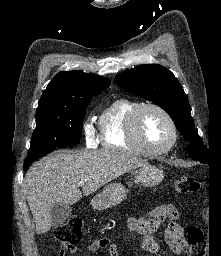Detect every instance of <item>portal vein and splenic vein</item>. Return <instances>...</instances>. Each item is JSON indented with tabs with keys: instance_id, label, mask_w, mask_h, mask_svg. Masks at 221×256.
Returning <instances> with one entry per match:
<instances>
[{
	"instance_id": "18ae733b",
	"label": "portal vein and splenic vein",
	"mask_w": 221,
	"mask_h": 256,
	"mask_svg": "<svg viewBox=\"0 0 221 256\" xmlns=\"http://www.w3.org/2000/svg\"><path fill=\"white\" fill-rule=\"evenodd\" d=\"M82 185H84V182H83V181H80V182L78 183V186H82Z\"/></svg>"
}]
</instances>
